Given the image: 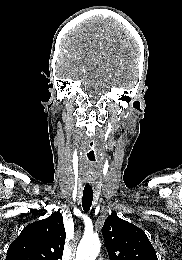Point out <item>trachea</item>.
<instances>
[{
  "mask_svg": "<svg viewBox=\"0 0 182 260\" xmlns=\"http://www.w3.org/2000/svg\"><path fill=\"white\" fill-rule=\"evenodd\" d=\"M93 200V190L91 187H85L83 190L82 207L85 212L91 208Z\"/></svg>",
  "mask_w": 182,
  "mask_h": 260,
  "instance_id": "1",
  "label": "trachea"
}]
</instances>
